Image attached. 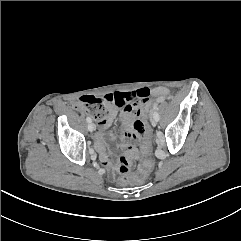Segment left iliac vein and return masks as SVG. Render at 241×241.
<instances>
[{
  "mask_svg": "<svg viewBox=\"0 0 241 241\" xmlns=\"http://www.w3.org/2000/svg\"><path fill=\"white\" fill-rule=\"evenodd\" d=\"M151 124L153 126H156L157 125V120L155 118L151 119Z\"/></svg>",
  "mask_w": 241,
  "mask_h": 241,
  "instance_id": "obj_1",
  "label": "left iliac vein"
}]
</instances>
